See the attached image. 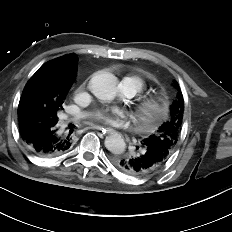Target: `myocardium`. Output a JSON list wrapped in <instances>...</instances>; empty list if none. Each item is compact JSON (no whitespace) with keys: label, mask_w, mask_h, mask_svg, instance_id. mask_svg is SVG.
Listing matches in <instances>:
<instances>
[{"label":"myocardium","mask_w":232,"mask_h":232,"mask_svg":"<svg viewBox=\"0 0 232 232\" xmlns=\"http://www.w3.org/2000/svg\"><path fill=\"white\" fill-rule=\"evenodd\" d=\"M165 113V101L155 95L142 97L136 104V116L139 123L149 127L161 121Z\"/></svg>","instance_id":"obj_1"}]
</instances>
